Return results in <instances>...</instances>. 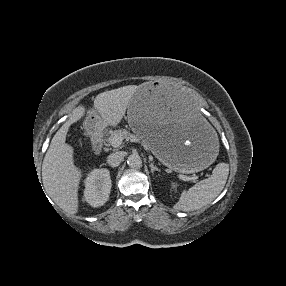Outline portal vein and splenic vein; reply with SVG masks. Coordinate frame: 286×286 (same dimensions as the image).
Masks as SVG:
<instances>
[{
    "mask_svg": "<svg viewBox=\"0 0 286 286\" xmlns=\"http://www.w3.org/2000/svg\"><path fill=\"white\" fill-rule=\"evenodd\" d=\"M122 141H123V139H122L121 137L116 136V137L113 138L111 145H112L114 148H117V147H119V146L122 144ZM178 176H179V178L182 179L183 181H191V180H193L192 177H189V176H187V175L179 174Z\"/></svg>",
    "mask_w": 286,
    "mask_h": 286,
    "instance_id": "portal-vein-and-splenic-vein-1",
    "label": "portal vein and splenic vein"
}]
</instances>
